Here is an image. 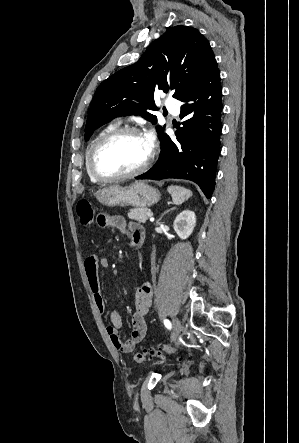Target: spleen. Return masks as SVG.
Wrapping results in <instances>:
<instances>
[{"mask_svg":"<svg viewBox=\"0 0 299 443\" xmlns=\"http://www.w3.org/2000/svg\"><path fill=\"white\" fill-rule=\"evenodd\" d=\"M167 190L176 205L182 204L192 196V192L182 186L171 185L168 186Z\"/></svg>","mask_w":299,"mask_h":443,"instance_id":"obj_1","label":"spleen"}]
</instances>
